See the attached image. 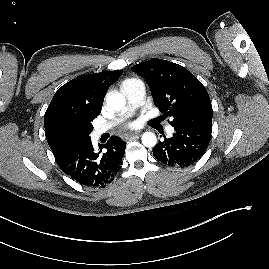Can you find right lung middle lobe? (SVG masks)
<instances>
[{
  "mask_svg": "<svg viewBox=\"0 0 269 269\" xmlns=\"http://www.w3.org/2000/svg\"><path fill=\"white\" fill-rule=\"evenodd\" d=\"M91 122H75L64 126L59 135L58 148L61 154L83 146L91 141Z\"/></svg>",
  "mask_w": 269,
  "mask_h": 269,
  "instance_id": "obj_1",
  "label": "right lung middle lobe"
}]
</instances>
